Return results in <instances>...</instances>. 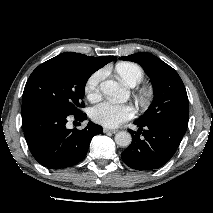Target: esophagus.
Returning a JSON list of instances; mask_svg holds the SVG:
<instances>
[{
    "label": "esophagus",
    "instance_id": "1",
    "mask_svg": "<svg viewBox=\"0 0 213 213\" xmlns=\"http://www.w3.org/2000/svg\"><path fill=\"white\" fill-rule=\"evenodd\" d=\"M103 132L104 133H117L118 132V130H116V129H108V128H104L103 129Z\"/></svg>",
    "mask_w": 213,
    "mask_h": 213
}]
</instances>
